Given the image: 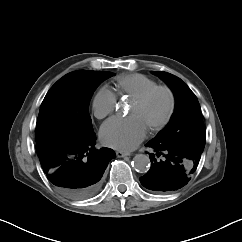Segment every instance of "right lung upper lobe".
I'll return each mask as SVG.
<instances>
[{"mask_svg":"<svg viewBox=\"0 0 242 242\" xmlns=\"http://www.w3.org/2000/svg\"><path fill=\"white\" fill-rule=\"evenodd\" d=\"M81 71H84V70H80V71H74V72H81ZM71 73H73V72H71Z\"/></svg>","mask_w":242,"mask_h":242,"instance_id":"cb5924a9","label":"right lung upper lobe"}]
</instances>
